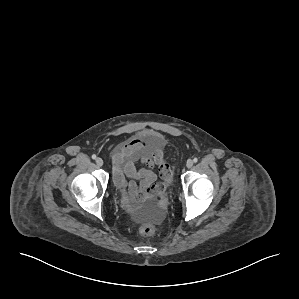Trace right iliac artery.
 Returning a JSON list of instances; mask_svg holds the SVG:
<instances>
[{
	"mask_svg": "<svg viewBox=\"0 0 299 299\" xmlns=\"http://www.w3.org/2000/svg\"><path fill=\"white\" fill-rule=\"evenodd\" d=\"M92 159H96V155L95 154L92 155Z\"/></svg>",
	"mask_w": 299,
	"mask_h": 299,
	"instance_id": "1",
	"label": "right iliac artery"
}]
</instances>
